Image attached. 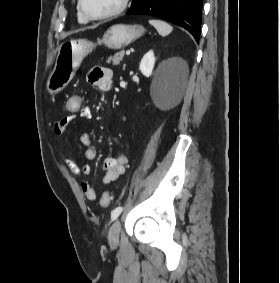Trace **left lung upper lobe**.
Here are the masks:
<instances>
[{"mask_svg":"<svg viewBox=\"0 0 280 283\" xmlns=\"http://www.w3.org/2000/svg\"><path fill=\"white\" fill-rule=\"evenodd\" d=\"M136 2V0H132V4H134Z\"/></svg>","mask_w":280,"mask_h":283,"instance_id":"left-lung-upper-lobe-1","label":"left lung upper lobe"}]
</instances>
